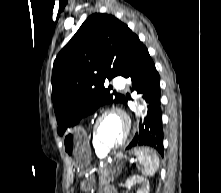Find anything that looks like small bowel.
I'll return each instance as SVG.
<instances>
[{
    "label": "small bowel",
    "mask_w": 221,
    "mask_h": 193,
    "mask_svg": "<svg viewBox=\"0 0 221 193\" xmlns=\"http://www.w3.org/2000/svg\"><path fill=\"white\" fill-rule=\"evenodd\" d=\"M100 193H117L116 189L108 187L103 189Z\"/></svg>",
    "instance_id": "small-bowel-1"
}]
</instances>
